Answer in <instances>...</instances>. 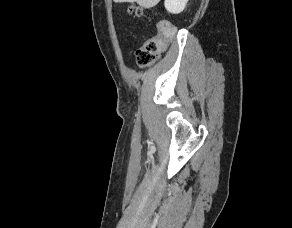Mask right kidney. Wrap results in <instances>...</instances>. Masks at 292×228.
<instances>
[{"mask_svg": "<svg viewBox=\"0 0 292 228\" xmlns=\"http://www.w3.org/2000/svg\"><path fill=\"white\" fill-rule=\"evenodd\" d=\"M188 0H165V8L172 14L181 13L186 7Z\"/></svg>", "mask_w": 292, "mask_h": 228, "instance_id": "ca27d5eb", "label": "right kidney"}]
</instances>
